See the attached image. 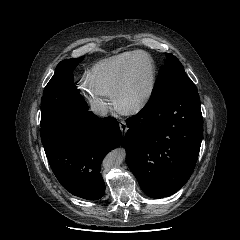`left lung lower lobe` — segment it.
<instances>
[{
  "label": "left lung lower lobe",
  "instance_id": "obj_1",
  "mask_svg": "<svg viewBox=\"0 0 240 240\" xmlns=\"http://www.w3.org/2000/svg\"><path fill=\"white\" fill-rule=\"evenodd\" d=\"M126 122L127 164L143 192L151 198L177 192L195 168L203 137L198 93H166Z\"/></svg>",
  "mask_w": 240,
  "mask_h": 240
}]
</instances>
